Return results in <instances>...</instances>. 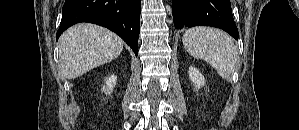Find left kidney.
<instances>
[{
	"instance_id": "1",
	"label": "left kidney",
	"mask_w": 299,
	"mask_h": 130,
	"mask_svg": "<svg viewBox=\"0 0 299 130\" xmlns=\"http://www.w3.org/2000/svg\"><path fill=\"white\" fill-rule=\"evenodd\" d=\"M189 78L191 82L194 83L196 88L204 86L205 79L204 76L199 72V70L193 66L189 67Z\"/></svg>"
}]
</instances>
